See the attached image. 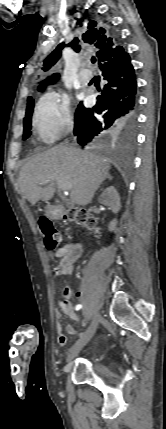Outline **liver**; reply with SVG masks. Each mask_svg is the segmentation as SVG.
I'll list each match as a JSON object with an SVG mask.
<instances>
[{
	"label": "liver",
	"instance_id": "6515ba94",
	"mask_svg": "<svg viewBox=\"0 0 166 429\" xmlns=\"http://www.w3.org/2000/svg\"><path fill=\"white\" fill-rule=\"evenodd\" d=\"M109 160L70 145H58L30 158L19 173V189L32 205L50 200L51 186L41 185L61 181L71 183L72 204H89L100 184L109 176ZM43 181H47L41 184Z\"/></svg>",
	"mask_w": 166,
	"mask_h": 429
}]
</instances>
